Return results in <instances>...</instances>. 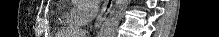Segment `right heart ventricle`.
I'll list each match as a JSON object with an SVG mask.
<instances>
[{
	"instance_id": "1",
	"label": "right heart ventricle",
	"mask_w": 219,
	"mask_h": 37,
	"mask_svg": "<svg viewBox=\"0 0 219 37\" xmlns=\"http://www.w3.org/2000/svg\"><path fill=\"white\" fill-rule=\"evenodd\" d=\"M61 23L67 26H77L79 25L77 22H75L72 18H71V13H67L64 15V17L61 20Z\"/></svg>"
}]
</instances>
